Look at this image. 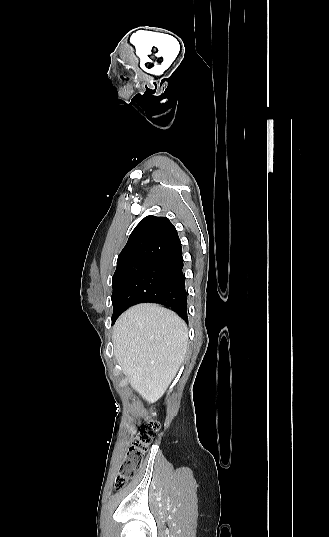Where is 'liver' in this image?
I'll list each match as a JSON object with an SVG mask.
<instances>
[{
    "mask_svg": "<svg viewBox=\"0 0 329 537\" xmlns=\"http://www.w3.org/2000/svg\"><path fill=\"white\" fill-rule=\"evenodd\" d=\"M113 329L114 354L124 375L143 399L155 401L184 361L186 323L159 305L139 304L127 309Z\"/></svg>",
    "mask_w": 329,
    "mask_h": 537,
    "instance_id": "6515ba94",
    "label": "liver"
}]
</instances>
